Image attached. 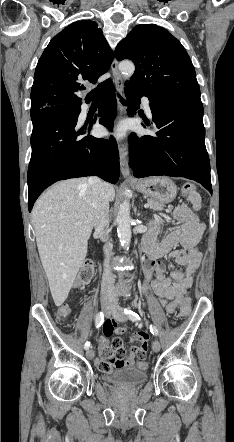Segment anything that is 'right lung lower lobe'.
<instances>
[{"label": "right lung lower lobe", "mask_w": 234, "mask_h": 442, "mask_svg": "<svg viewBox=\"0 0 234 442\" xmlns=\"http://www.w3.org/2000/svg\"><path fill=\"white\" fill-rule=\"evenodd\" d=\"M99 92L103 98L89 126L77 124L81 103L31 111L32 154L27 176L29 212L38 196L59 180L98 175L112 184L118 182L120 163L115 139L83 136L90 132L93 122L112 128L117 108L112 82L108 81Z\"/></svg>", "instance_id": "1"}]
</instances>
